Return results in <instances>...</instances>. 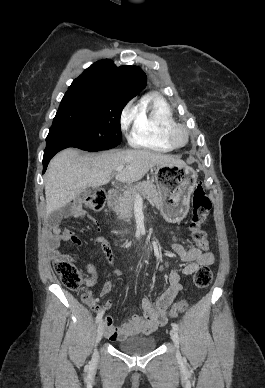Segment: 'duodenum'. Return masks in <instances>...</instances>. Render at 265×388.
Returning a JSON list of instances; mask_svg holds the SVG:
<instances>
[{"label":"duodenum","instance_id":"410a0bca","mask_svg":"<svg viewBox=\"0 0 265 388\" xmlns=\"http://www.w3.org/2000/svg\"><path fill=\"white\" fill-rule=\"evenodd\" d=\"M119 200V192L117 190H110L107 196V203L109 206H114Z\"/></svg>","mask_w":265,"mask_h":388}]
</instances>
